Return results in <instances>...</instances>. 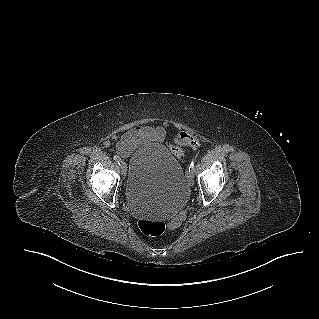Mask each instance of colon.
Listing matches in <instances>:
<instances>
[{"mask_svg":"<svg viewBox=\"0 0 319 319\" xmlns=\"http://www.w3.org/2000/svg\"><path fill=\"white\" fill-rule=\"evenodd\" d=\"M202 144V137L198 130L180 129L173 141L169 144L170 151L181 161L185 158V147L196 148ZM140 231L147 236H159L164 233L166 225L160 220L140 219L138 221Z\"/></svg>","mask_w":319,"mask_h":319,"instance_id":"colon-1","label":"colon"}]
</instances>
